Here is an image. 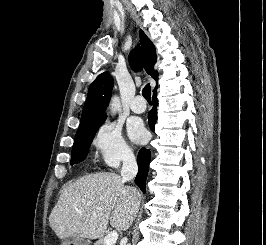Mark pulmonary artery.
<instances>
[{"instance_id": "obj_1", "label": "pulmonary artery", "mask_w": 266, "mask_h": 245, "mask_svg": "<svg viewBox=\"0 0 266 245\" xmlns=\"http://www.w3.org/2000/svg\"><path fill=\"white\" fill-rule=\"evenodd\" d=\"M142 96L138 95L132 100L130 104V109L134 113H143L146 110V105L143 103Z\"/></svg>"}]
</instances>
